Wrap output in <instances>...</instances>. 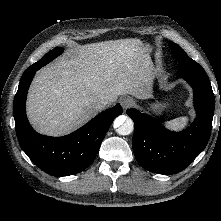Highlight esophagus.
<instances>
[{
	"instance_id": "1",
	"label": "esophagus",
	"mask_w": 221,
	"mask_h": 221,
	"mask_svg": "<svg viewBox=\"0 0 221 221\" xmlns=\"http://www.w3.org/2000/svg\"><path fill=\"white\" fill-rule=\"evenodd\" d=\"M120 104L123 107V109H127L134 104V100L130 97H124L121 98Z\"/></svg>"
}]
</instances>
